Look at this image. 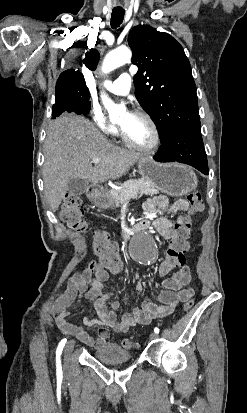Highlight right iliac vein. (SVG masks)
<instances>
[{
  "label": "right iliac vein",
  "instance_id": "63e3f726",
  "mask_svg": "<svg viewBox=\"0 0 247 413\" xmlns=\"http://www.w3.org/2000/svg\"><path fill=\"white\" fill-rule=\"evenodd\" d=\"M74 341H70L67 345H66V348H65V351H64V362H65V366H68L69 365V357H70V355H71V352H72V350H73V348H74Z\"/></svg>",
  "mask_w": 247,
  "mask_h": 413
}]
</instances>
